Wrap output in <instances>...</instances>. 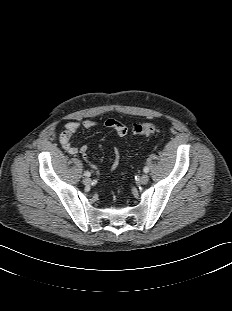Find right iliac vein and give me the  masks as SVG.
Masks as SVG:
<instances>
[{"label": "right iliac vein", "instance_id": "1", "mask_svg": "<svg viewBox=\"0 0 232 311\" xmlns=\"http://www.w3.org/2000/svg\"><path fill=\"white\" fill-rule=\"evenodd\" d=\"M83 183H84L85 185H90V184L92 183V180H91V178H89V177H85V178L83 179Z\"/></svg>", "mask_w": 232, "mask_h": 311}]
</instances>
